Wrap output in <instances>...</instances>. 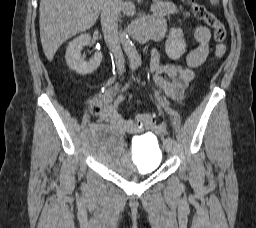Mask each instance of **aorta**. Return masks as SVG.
I'll list each match as a JSON object with an SVG mask.
<instances>
[{"label":"aorta","mask_w":256,"mask_h":228,"mask_svg":"<svg viewBox=\"0 0 256 228\" xmlns=\"http://www.w3.org/2000/svg\"><path fill=\"white\" fill-rule=\"evenodd\" d=\"M120 39L123 46V49L129 59L131 66H138L141 64V58L136 50V47L124 32L120 33Z\"/></svg>","instance_id":"762f6f07"}]
</instances>
